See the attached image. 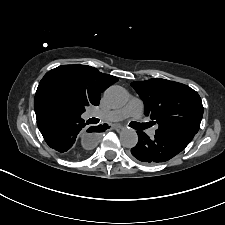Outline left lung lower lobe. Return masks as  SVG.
<instances>
[{"label": "left lung lower lobe", "instance_id": "obj_1", "mask_svg": "<svg viewBox=\"0 0 225 225\" xmlns=\"http://www.w3.org/2000/svg\"><path fill=\"white\" fill-rule=\"evenodd\" d=\"M137 134L138 143L131 149L133 158L154 165L168 161L184 150L196 133L189 131L156 133L153 139L141 131Z\"/></svg>", "mask_w": 225, "mask_h": 225}]
</instances>
